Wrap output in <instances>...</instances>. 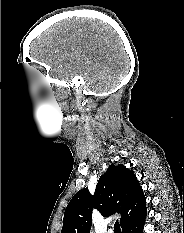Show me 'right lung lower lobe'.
Instances as JSON below:
<instances>
[{
    "mask_svg": "<svg viewBox=\"0 0 184 233\" xmlns=\"http://www.w3.org/2000/svg\"><path fill=\"white\" fill-rule=\"evenodd\" d=\"M146 214L147 212H146V207H145V209L141 213H139L129 222L121 226L122 232L123 233H142Z\"/></svg>",
    "mask_w": 184,
    "mask_h": 233,
    "instance_id": "obj_1",
    "label": "right lung lower lobe"
}]
</instances>
